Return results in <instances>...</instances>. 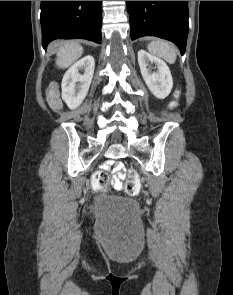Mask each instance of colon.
Segmentation results:
<instances>
[{
    "instance_id": "5ec220e1",
    "label": "colon",
    "mask_w": 233,
    "mask_h": 295,
    "mask_svg": "<svg viewBox=\"0 0 233 295\" xmlns=\"http://www.w3.org/2000/svg\"><path fill=\"white\" fill-rule=\"evenodd\" d=\"M49 102L54 109L60 107L57 92L55 89H51L48 94ZM109 183V175L104 170L95 171L92 175L91 184L94 189H102ZM141 186V179L137 171L130 169L128 172V180L125 184V192L129 196H135L138 194Z\"/></svg>"
}]
</instances>
